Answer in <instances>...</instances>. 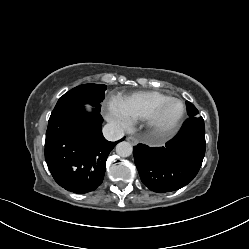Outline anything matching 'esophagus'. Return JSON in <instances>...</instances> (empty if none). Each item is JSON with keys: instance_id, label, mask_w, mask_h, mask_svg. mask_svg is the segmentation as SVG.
Wrapping results in <instances>:
<instances>
[{"instance_id": "1", "label": "esophagus", "mask_w": 249, "mask_h": 249, "mask_svg": "<svg viewBox=\"0 0 249 249\" xmlns=\"http://www.w3.org/2000/svg\"><path fill=\"white\" fill-rule=\"evenodd\" d=\"M126 140H127L128 142H130L131 144H133V145H136V144L138 143V140H137L135 137H133V136H128V137L126 138Z\"/></svg>"}]
</instances>
